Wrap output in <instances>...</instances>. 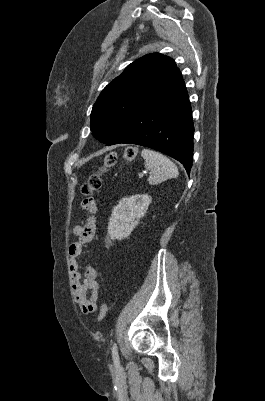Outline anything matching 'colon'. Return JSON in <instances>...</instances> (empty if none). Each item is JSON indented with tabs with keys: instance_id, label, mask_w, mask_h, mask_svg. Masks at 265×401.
<instances>
[{
	"instance_id": "obj_1",
	"label": "colon",
	"mask_w": 265,
	"mask_h": 401,
	"mask_svg": "<svg viewBox=\"0 0 265 401\" xmlns=\"http://www.w3.org/2000/svg\"><path fill=\"white\" fill-rule=\"evenodd\" d=\"M137 148L136 147H126L123 151V157L127 161H131L135 159L137 155ZM117 156L114 153H110L106 155L103 159V164L96 172L92 173L86 182L82 185L81 192L83 195L89 196L92 195L94 192L98 191L103 183V176L104 174L112 169L116 164ZM108 311V304L107 302H103L99 312V321H103Z\"/></svg>"
}]
</instances>
